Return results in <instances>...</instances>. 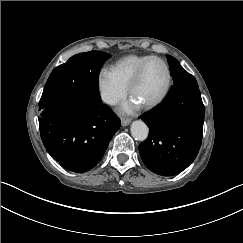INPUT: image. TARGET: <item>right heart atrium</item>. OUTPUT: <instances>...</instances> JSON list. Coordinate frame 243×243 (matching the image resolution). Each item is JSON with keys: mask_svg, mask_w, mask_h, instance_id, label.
Here are the masks:
<instances>
[{"mask_svg": "<svg viewBox=\"0 0 243 243\" xmlns=\"http://www.w3.org/2000/svg\"><path fill=\"white\" fill-rule=\"evenodd\" d=\"M95 83L99 98L108 105L118 103L127 94V88L119 82L111 66L99 67Z\"/></svg>", "mask_w": 243, "mask_h": 243, "instance_id": "d8ad5b80", "label": "right heart atrium"}]
</instances>
